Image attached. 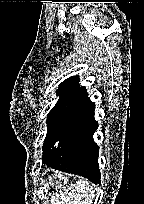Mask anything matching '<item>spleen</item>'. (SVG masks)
Wrapping results in <instances>:
<instances>
[{
	"label": "spleen",
	"instance_id": "3e777b00",
	"mask_svg": "<svg viewBox=\"0 0 144 204\" xmlns=\"http://www.w3.org/2000/svg\"><path fill=\"white\" fill-rule=\"evenodd\" d=\"M93 187L88 181L80 179L75 185L64 189L52 198V204H91L94 198Z\"/></svg>",
	"mask_w": 144,
	"mask_h": 204
}]
</instances>
